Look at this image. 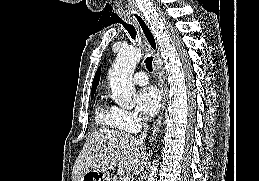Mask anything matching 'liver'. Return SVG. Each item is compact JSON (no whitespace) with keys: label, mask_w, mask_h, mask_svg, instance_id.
I'll use <instances>...</instances> for the list:
<instances>
[{"label":"liver","mask_w":259,"mask_h":181,"mask_svg":"<svg viewBox=\"0 0 259 181\" xmlns=\"http://www.w3.org/2000/svg\"><path fill=\"white\" fill-rule=\"evenodd\" d=\"M147 160L144 144L137 138L120 131L98 130L86 138L73 166L72 181H79L91 169L108 171L118 167L121 171L138 175Z\"/></svg>","instance_id":"liver-1"}]
</instances>
